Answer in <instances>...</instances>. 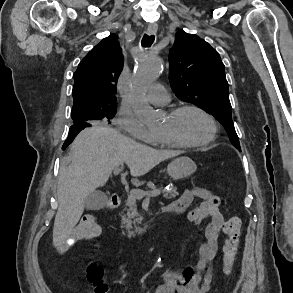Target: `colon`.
<instances>
[{
  "label": "colon",
  "mask_w": 293,
  "mask_h": 293,
  "mask_svg": "<svg viewBox=\"0 0 293 293\" xmlns=\"http://www.w3.org/2000/svg\"><path fill=\"white\" fill-rule=\"evenodd\" d=\"M241 220L233 217L228 219L224 226L225 242L223 245V270L228 273L236 259L239 240L241 235ZM101 234L98 219L94 214L84 215L79 223L74 227L70 235L59 245L60 250H64L82 241L97 239ZM86 277L92 285L93 293H108V286L104 280V270L95 261H91L86 268Z\"/></svg>",
  "instance_id": "colon-1"
}]
</instances>
